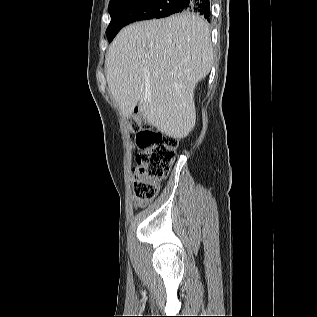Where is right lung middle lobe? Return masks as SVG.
Returning <instances> with one entry per match:
<instances>
[{
    "instance_id": "1",
    "label": "right lung middle lobe",
    "mask_w": 317,
    "mask_h": 317,
    "mask_svg": "<svg viewBox=\"0 0 317 317\" xmlns=\"http://www.w3.org/2000/svg\"><path fill=\"white\" fill-rule=\"evenodd\" d=\"M174 2L175 0H111L109 3L111 22L106 30L109 42L121 28L132 22L163 18L176 13L178 8Z\"/></svg>"
}]
</instances>
